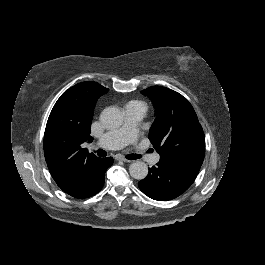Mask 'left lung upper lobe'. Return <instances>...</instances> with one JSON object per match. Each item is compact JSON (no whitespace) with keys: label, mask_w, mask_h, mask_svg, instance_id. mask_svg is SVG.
Segmentation results:
<instances>
[{"label":"left lung upper lobe","mask_w":265,"mask_h":265,"mask_svg":"<svg viewBox=\"0 0 265 265\" xmlns=\"http://www.w3.org/2000/svg\"><path fill=\"white\" fill-rule=\"evenodd\" d=\"M142 93L156 109L149 139L160 154V161L201 167L205 137L192 105L181 94L165 87H149Z\"/></svg>","instance_id":"1"}]
</instances>
